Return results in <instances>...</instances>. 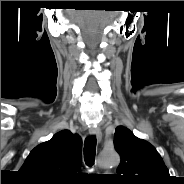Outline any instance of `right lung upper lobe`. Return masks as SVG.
Instances as JSON below:
<instances>
[{"mask_svg": "<svg viewBox=\"0 0 184 184\" xmlns=\"http://www.w3.org/2000/svg\"><path fill=\"white\" fill-rule=\"evenodd\" d=\"M82 141L68 130L36 146L19 170L29 181L65 184L81 167Z\"/></svg>", "mask_w": 184, "mask_h": 184, "instance_id": "cb5924a9", "label": "right lung upper lobe"}]
</instances>
